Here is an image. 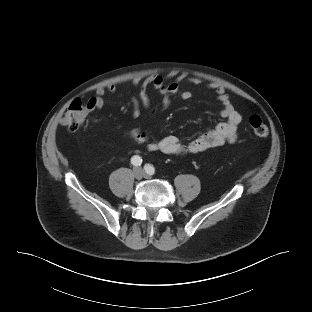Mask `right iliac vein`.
Returning <instances> with one entry per match:
<instances>
[{
    "mask_svg": "<svg viewBox=\"0 0 312 312\" xmlns=\"http://www.w3.org/2000/svg\"><path fill=\"white\" fill-rule=\"evenodd\" d=\"M133 174H134L135 178L141 179L143 177L144 172L141 168H135L133 171Z\"/></svg>",
    "mask_w": 312,
    "mask_h": 312,
    "instance_id": "right-iliac-vein-1",
    "label": "right iliac vein"
}]
</instances>
